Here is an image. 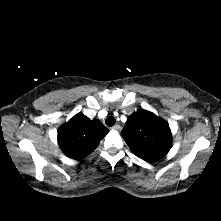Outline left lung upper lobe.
<instances>
[{
    "label": "left lung upper lobe",
    "mask_w": 221,
    "mask_h": 221,
    "mask_svg": "<svg viewBox=\"0 0 221 221\" xmlns=\"http://www.w3.org/2000/svg\"><path fill=\"white\" fill-rule=\"evenodd\" d=\"M121 135L131 151L147 162L162 158L171 148L168 123L146 110L131 114Z\"/></svg>",
    "instance_id": "5c2ea615"
}]
</instances>
